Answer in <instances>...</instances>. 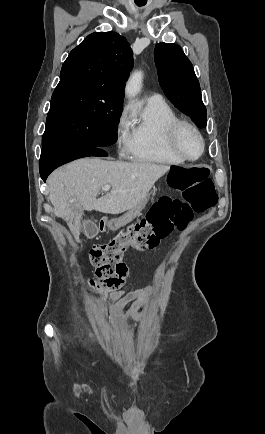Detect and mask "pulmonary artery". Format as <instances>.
Returning a JSON list of instances; mask_svg holds the SVG:
<instances>
[{
    "label": "pulmonary artery",
    "instance_id": "1",
    "mask_svg": "<svg viewBox=\"0 0 265 434\" xmlns=\"http://www.w3.org/2000/svg\"><path fill=\"white\" fill-rule=\"evenodd\" d=\"M161 94L159 91H152L151 94L148 97V100L150 103H157L160 99Z\"/></svg>",
    "mask_w": 265,
    "mask_h": 434
}]
</instances>
